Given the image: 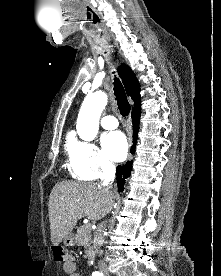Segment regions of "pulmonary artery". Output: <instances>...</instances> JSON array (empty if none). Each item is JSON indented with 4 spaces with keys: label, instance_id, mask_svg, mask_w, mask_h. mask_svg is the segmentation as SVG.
Instances as JSON below:
<instances>
[{
    "label": "pulmonary artery",
    "instance_id": "e3ab8cb5",
    "mask_svg": "<svg viewBox=\"0 0 221 276\" xmlns=\"http://www.w3.org/2000/svg\"><path fill=\"white\" fill-rule=\"evenodd\" d=\"M101 125L104 129L112 130L117 128L118 121L114 116H104L101 119Z\"/></svg>",
    "mask_w": 221,
    "mask_h": 276
}]
</instances>
